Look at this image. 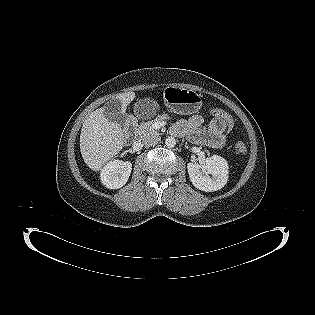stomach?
Wrapping results in <instances>:
<instances>
[{"label": "stomach", "instance_id": "stomach-1", "mask_svg": "<svg viewBox=\"0 0 315 315\" xmlns=\"http://www.w3.org/2000/svg\"><path fill=\"white\" fill-rule=\"evenodd\" d=\"M163 95L167 108L177 114H194L202 106L201 96L190 89L168 86L165 88Z\"/></svg>", "mask_w": 315, "mask_h": 315}]
</instances>
